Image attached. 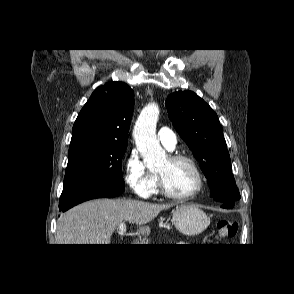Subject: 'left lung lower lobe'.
Instances as JSON below:
<instances>
[{"instance_id":"obj_1","label":"left lung lower lobe","mask_w":294,"mask_h":294,"mask_svg":"<svg viewBox=\"0 0 294 294\" xmlns=\"http://www.w3.org/2000/svg\"><path fill=\"white\" fill-rule=\"evenodd\" d=\"M220 202H224V204L221 206L222 208H232L234 206V200L232 199H215Z\"/></svg>"}]
</instances>
